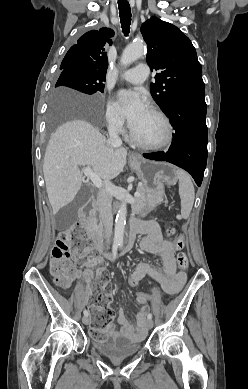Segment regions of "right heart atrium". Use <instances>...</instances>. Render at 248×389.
<instances>
[{
  "mask_svg": "<svg viewBox=\"0 0 248 389\" xmlns=\"http://www.w3.org/2000/svg\"><path fill=\"white\" fill-rule=\"evenodd\" d=\"M105 121L111 131L121 133L124 130V119L116 104L111 100L106 105Z\"/></svg>",
  "mask_w": 248,
  "mask_h": 389,
  "instance_id": "obj_1",
  "label": "right heart atrium"
}]
</instances>
